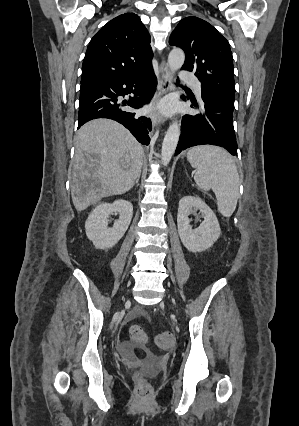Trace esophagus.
Returning a JSON list of instances; mask_svg holds the SVG:
<instances>
[{"mask_svg":"<svg viewBox=\"0 0 299 426\" xmlns=\"http://www.w3.org/2000/svg\"><path fill=\"white\" fill-rule=\"evenodd\" d=\"M171 90V73L165 59L160 64V81L157 91L153 97V110L151 113V120L153 125H157L159 123H164L165 119L163 116L156 110L155 105L158 100L165 94H167Z\"/></svg>","mask_w":299,"mask_h":426,"instance_id":"1","label":"esophagus"}]
</instances>
